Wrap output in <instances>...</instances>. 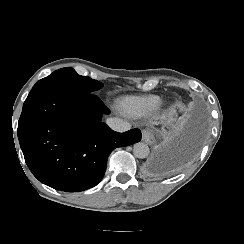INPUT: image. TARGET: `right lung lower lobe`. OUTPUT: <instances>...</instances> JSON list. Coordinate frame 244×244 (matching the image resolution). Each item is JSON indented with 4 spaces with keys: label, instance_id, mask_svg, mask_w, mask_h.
<instances>
[{
    "label": "right lung lower lobe",
    "instance_id": "obj_1",
    "mask_svg": "<svg viewBox=\"0 0 244 244\" xmlns=\"http://www.w3.org/2000/svg\"><path fill=\"white\" fill-rule=\"evenodd\" d=\"M109 110L93 93L69 88L31 90L18 122L25 162L42 183L79 192L97 185L109 154L141 140L139 129L112 131L101 122Z\"/></svg>",
    "mask_w": 244,
    "mask_h": 244
}]
</instances>
